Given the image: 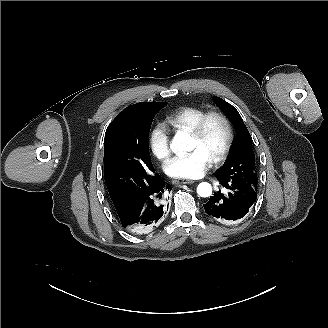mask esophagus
I'll list each match as a JSON object with an SVG mask.
<instances>
[{
    "label": "esophagus",
    "mask_w": 328,
    "mask_h": 328,
    "mask_svg": "<svg viewBox=\"0 0 328 328\" xmlns=\"http://www.w3.org/2000/svg\"><path fill=\"white\" fill-rule=\"evenodd\" d=\"M178 184H191L194 183V180L187 178H180L176 181Z\"/></svg>",
    "instance_id": "esophagus-1"
}]
</instances>
